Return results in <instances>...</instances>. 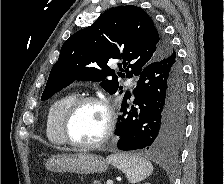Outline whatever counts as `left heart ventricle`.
<instances>
[{"label":"left heart ventricle","mask_w":224,"mask_h":184,"mask_svg":"<svg viewBox=\"0 0 224 184\" xmlns=\"http://www.w3.org/2000/svg\"><path fill=\"white\" fill-rule=\"evenodd\" d=\"M106 120V112L100 105L95 103L83 104L71 121V136L77 142H95L104 134Z\"/></svg>","instance_id":"obj_1"}]
</instances>
